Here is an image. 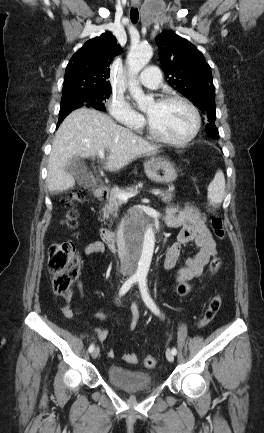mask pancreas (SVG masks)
<instances>
[{
	"mask_svg": "<svg viewBox=\"0 0 264 433\" xmlns=\"http://www.w3.org/2000/svg\"><path fill=\"white\" fill-rule=\"evenodd\" d=\"M136 186H130L123 190H112L107 197V203L102 208V217L100 218L101 221H105L106 219H109L112 217L116 218L118 216L119 208L122 206L123 202L118 199L117 193L118 192H134L136 190ZM173 191L172 190H166V191H160L159 197H161V200L163 202H170L173 198Z\"/></svg>",
	"mask_w": 264,
	"mask_h": 433,
	"instance_id": "1",
	"label": "pancreas"
}]
</instances>
